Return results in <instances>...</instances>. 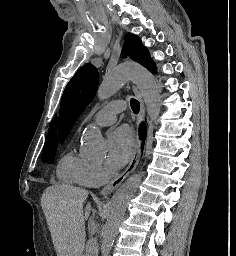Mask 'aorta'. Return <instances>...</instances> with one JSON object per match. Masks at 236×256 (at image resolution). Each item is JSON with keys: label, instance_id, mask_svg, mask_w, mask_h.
<instances>
[{"label": "aorta", "instance_id": "762f6f07", "mask_svg": "<svg viewBox=\"0 0 236 256\" xmlns=\"http://www.w3.org/2000/svg\"><path fill=\"white\" fill-rule=\"evenodd\" d=\"M128 80H132L141 92L148 115L157 121L161 112V97L154 76L144 67L135 64H123L107 73L97 89V97L104 100L115 94ZM84 142L93 150L101 152L103 140L97 128H90L83 134ZM142 173L131 176L115 192L107 210L106 223L102 229L101 254L109 256L121 220L129 201L141 182Z\"/></svg>", "mask_w": 236, "mask_h": 256}]
</instances>
